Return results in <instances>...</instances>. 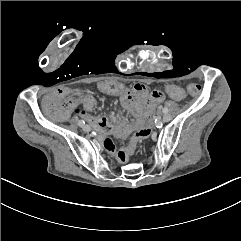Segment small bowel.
I'll list each match as a JSON object with an SVG mask.
<instances>
[{
    "instance_id": "small-bowel-1",
    "label": "small bowel",
    "mask_w": 241,
    "mask_h": 241,
    "mask_svg": "<svg viewBox=\"0 0 241 241\" xmlns=\"http://www.w3.org/2000/svg\"><path fill=\"white\" fill-rule=\"evenodd\" d=\"M115 83L118 85V92L115 96L121 97L123 106L128 109L134 118L132 123L127 121L114 123L105 116H92L88 114V111H90L95 104V99L91 95H80L76 99L68 97L61 109L53 108L52 102L67 94V89L65 87H60L59 89L52 91L50 94H47L43 100V109L46 113H48L50 118H65L72 108L76 109V112L82 115V117L99 132V139L106 151L111 154H115L117 160L121 164H126L129 157L135 153L138 144L152 134L153 108L161 102L162 93L157 90H152L147 95L146 86L143 83H137L133 87L134 94H129L127 96L126 87L121 83ZM184 96L185 94L183 91L176 101L182 100ZM78 105H82L83 110L77 109ZM148 106L152 109L151 114ZM148 116L149 118H147ZM113 137L120 140H124L129 137V141L126 145L116 151Z\"/></svg>"
}]
</instances>
